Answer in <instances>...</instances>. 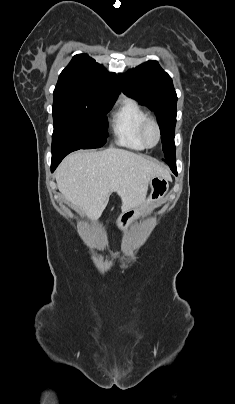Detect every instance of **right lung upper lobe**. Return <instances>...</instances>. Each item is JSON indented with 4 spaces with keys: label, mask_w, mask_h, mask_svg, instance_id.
Returning <instances> with one entry per match:
<instances>
[{
    "label": "right lung upper lobe",
    "mask_w": 235,
    "mask_h": 404,
    "mask_svg": "<svg viewBox=\"0 0 235 404\" xmlns=\"http://www.w3.org/2000/svg\"><path fill=\"white\" fill-rule=\"evenodd\" d=\"M54 93L114 102L120 86L115 73L107 72L87 54H78L59 75Z\"/></svg>",
    "instance_id": "obj_1"
}]
</instances>
